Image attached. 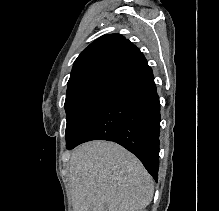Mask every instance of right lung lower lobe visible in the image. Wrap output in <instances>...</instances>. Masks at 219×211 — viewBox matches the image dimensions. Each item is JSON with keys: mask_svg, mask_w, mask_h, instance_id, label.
<instances>
[{"mask_svg": "<svg viewBox=\"0 0 219 211\" xmlns=\"http://www.w3.org/2000/svg\"><path fill=\"white\" fill-rule=\"evenodd\" d=\"M159 132V96L147 65L110 90L69 149L91 140L116 142L135 154L157 181Z\"/></svg>", "mask_w": 219, "mask_h": 211, "instance_id": "obj_1", "label": "right lung lower lobe"}]
</instances>
